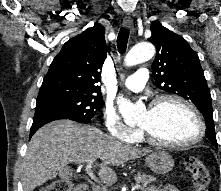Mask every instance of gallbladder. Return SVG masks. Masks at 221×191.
Listing matches in <instances>:
<instances>
[{"mask_svg": "<svg viewBox=\"0 0 221 191\" xmlns=\"http://www.w3.org/2000/svg\"><path fill=\"white\" fill-rule=\"evenodd\" d=\"M71 174H72V171H71L70 168H64V169L62 170V172L60 173V176H61V177H68V176H70Z\"/></svg>", "mask_w": 221, "mask_h": 191, "instance_id": "bac80fb5", "label": "gallbladder"}]
</instances>
